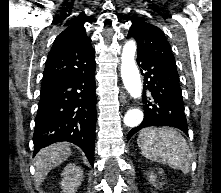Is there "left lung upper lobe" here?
<instances>
[{
    "label": "left lung upper lobe",
    "mask_w": 221,
    "mask_h": 193,
    "mask_svg": "<svg viewBox=\"0 0 221 193\" xmlns=\"http://www.w3.org/2000/svg\"><path fill=\"white\" fill-rule=\"evenodd\" d=\"M128 37L136 39L138 52L176 66L170 44L160 28L135 18Z\"/></svg>",
    "instance_id": "obj_1"
}]
</instances>
